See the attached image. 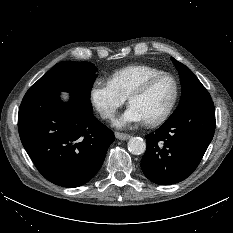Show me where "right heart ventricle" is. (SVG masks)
<instances>
[{
  "instance_id": "right-heart-ventricle-1",
  "label": "right heart ventricle",
  "mask_w": 233,
  "mask_h": 233,
  "mask_svg": "<svg viewBox=\"0 0 233 233\" xmlns=\"http://www.w3.org/2000/svg\"><path fill=\"white\" fill-rule=\"evenodd\" d=\"M162 72V70L150 65L132 64L116 70L111 75L110 81L127 98L146 78Z\"/></svg>"
}]
</instances>
